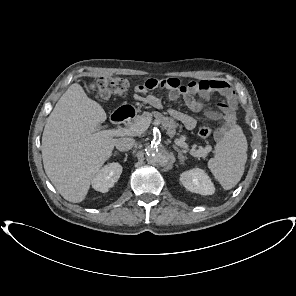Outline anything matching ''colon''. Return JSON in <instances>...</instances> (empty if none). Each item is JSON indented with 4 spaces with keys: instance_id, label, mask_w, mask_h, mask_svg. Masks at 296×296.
I'll use <instances>...</instances> for the list:
<instances>
[{
    "instance_id": "obj_1",
    "label": "colon",
    "mask_w": 296,
    "mask_h": 296,
    "mask_svg": "<svg viewBox=\"0 0 296 296\" xmlns=\"http://www.w3.org/2000/svg\"><path fill=\"white\" fill-rule=\"evenodd\" d=\"M129 81L122 77L101 78L91 85V90L99 98L124 95L129 89ZM210 126L203 124L199 127L198 136L207 139L211 135Z\"/></svg>"
}]
</instances>
